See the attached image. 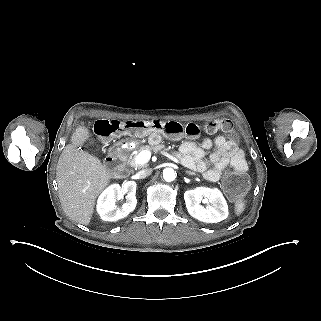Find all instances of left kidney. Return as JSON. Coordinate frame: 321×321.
Returning <instances> with one entry per match:
<instances>
[{"label":"left kidney","mask_w":321,"mask_h":321,"mask_svg":"<svg viewBox=\"0 0 321 321\" xmlns=\"http://www.w3.org/2000/svg\"><path fill=\"white\" fill-rule=\"evenodd\" d=\"M208 199L211 205L206 208L200 205L202 199ZM184 200L188 213L206 223H218L228 217L227 202L217 188L197 187L184 193Z\"/></svg>","instance_id":"obj_1"}]
</instances>
